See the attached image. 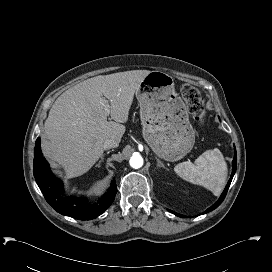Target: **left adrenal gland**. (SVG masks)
<instances>
[{
	"label": "left adrenal gland",
	"mask_w": 272,
	"mask_h": 272,
	"mask_svg": "<svg viewBox=\"0 0 272 272\" xmlns=\"http://www.w3.org/2000/svg\"><path fill=\"white\" fill-rule=\"evenodd\" d=\"M155 159H156V161H157V167H162V168L167 169V168L164 166V164H163L157 157H155Z\"/></svg>",
	"instance_id": "obj_1"
}]
</instances>
